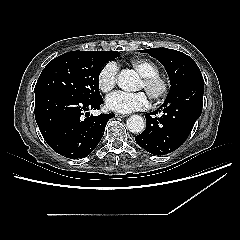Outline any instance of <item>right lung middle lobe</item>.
I'll return each mask as SVG.
<instances>
[{
	"label": "right lung middle lobe",
	"mask_w": 240,
	"mask_h": 240,
	"mask_svg": "<svg viewBox=\"0 0 240 240\" xmlns=\"http://www.w3.org/2000/svg\"><path fill=\"white\" fill-rule=\"evenodd\" d=\"M119 56L117 51H71L50 61L39 76L34 92H62L85 100L101 98L102 66Z\"/></svg>",
	"instance_id": "obj_1"
}]
</instances>
